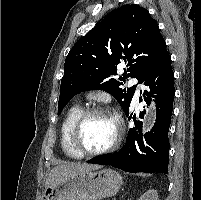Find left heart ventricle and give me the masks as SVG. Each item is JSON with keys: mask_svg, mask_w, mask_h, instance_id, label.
<instances>
[{"mask_svg": "<svg viewBox=\"0 0 201 200\" xmlns=\"http://www.w3.org/2000/svg\"><path fill=\"white\" fill-rule=\"evenodd\" d=\"M116 125L112 118L105 115H93L88 118L80 131L79 141L83 149L100 150L114 139Z\"/></svg>", "mask_w": 201, "mask_h": 200, "instance_id": "obj_1", "label": "left heart ventricle"}]
</instances>
